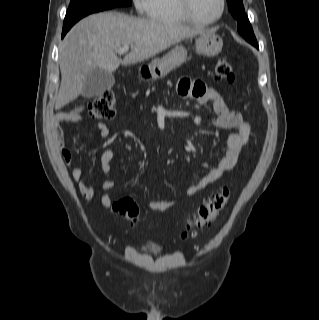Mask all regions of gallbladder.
Here are the masks:
<instances>
[{
	"mask_svg": "<svg viewBox=\"0 0 319 320\" xmlns=\"http://www.w3.org/2000/svg\"><path fill=\"white\" fill-rule=\"evenodd\" d=\"M115 83L112 73L102 69H95L85 78L82 96L85 98L102 95L105 91L110 90Z\"/></svg>",
	"mask_w": 319,
	"mask_h": 320,
	"instance_id": "1",
	"label": "gallbladder"
}]
</instances>
